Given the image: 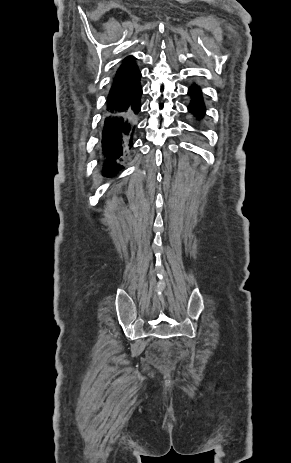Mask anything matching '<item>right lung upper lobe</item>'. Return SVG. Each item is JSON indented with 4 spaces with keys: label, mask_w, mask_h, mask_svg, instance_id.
I'll list each match as a JSON object with an SVG mask.
<instances>
[{
    "label": "right lung upper lobe",
    "mask_w": 291,
    "mask_h": 463,
    "mask_svg": "<svg viewBox=\"0 0 291 463\" xmlns=\"http://www.w3.org/2000/svg\"><path fill=\"white\" fill-rule=\"evenodd\" d=\"M135 58L133 56L126 57L123 61L121 66L116 72L114 80L123 79L124 81L129 80L133 74L139 72L138 67L135 65ZM126 78V79H125ZM125 91V89H121L120 87L112 86L108 95L110 100L118 98L121 93Z\"/></svg>",
    "instance_id": "cb5924a9"
}]
</instances>
